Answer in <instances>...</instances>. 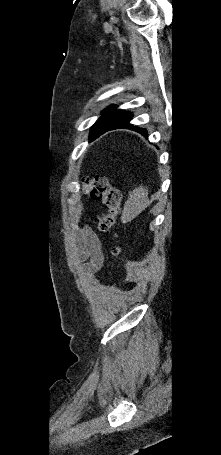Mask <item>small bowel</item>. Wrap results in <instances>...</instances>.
<instances>
[{
	"label": "small bowel",
	"instance_id": "obj_1",
	"mask_svg": "<svg viewBox=\"0 0 221 455\" xmlns=\"http://www.w3.org/2000/svg\"><path fill=\"white\" fill-rule=\"evenodd\" d=\"M91 231L84 228L74 236V252L78 261L84 263L87 273H93L99 270L102 265L103 257L99 246L90 240ZM96 284L98 281L94 280Z\"/></svg>",
	"mask_w": 221,
	"mask_h": 455
}]
</instances>
